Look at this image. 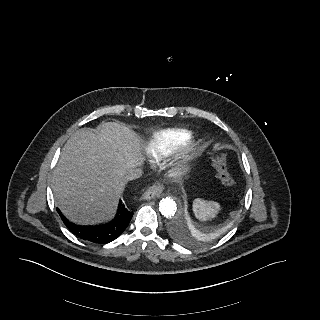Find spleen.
Returning <instances> with one entry per match:
<instances>
[{
    "instance_id": "spleen-1",
    "label": "spleen",
    "mask_w": 320,
    "mask_h": 320,
    "mask_svg": "<svg viewBox=\"0 0 320 320\" xmlns=\"http://www.w3.org/2000/svg\"><path fill=\"white\" fill-rule=\"evenodd\" d=\"M220 205L214 201H206L203 199H196L193 203V211L196 218L201 221H206L215 218L220 211Z\"/></svg>"
}]
</instances>
